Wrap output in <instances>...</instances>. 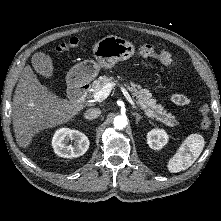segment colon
I'll return each instance as SVG.
<instances>
[{
	"label": "colon",
	"instance_id": "1",
	"mask_svg": "<svg viewBox=\"0 0 221 221\" xmlns=\"http://www.w3.org/2000/svg\"><path fill=\"white\" fill-rule=\"evenodd\" d=\"M82 43L77 38H72L68 42L59 45L56 48L57 53L62 54L72 49L79 48ZM138 54L142 57H157L165 65L172 66L174 61L170 53L164 50H157L152 45H141L138 48ZM200 112L202 115L200 125L203 129H208L211 126V119L209 116V107L206 103H202L200 106Z\"/></svg>",
	"mask_w": 221,
	"mask_h": 221
}]
</instances>
